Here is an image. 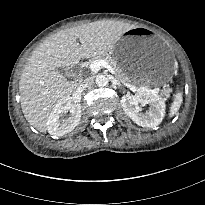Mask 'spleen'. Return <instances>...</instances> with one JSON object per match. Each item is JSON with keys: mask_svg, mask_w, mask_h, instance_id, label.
Returning <instances> with one entry per match:
<instances>
[{"mask_svg": "<svg viewBox=\"0 0 205 205\" xmlns=\"http://www.w3.org/2000/svg\"><path fill=\"white\" fill-rule=\"evenodd\" d=\"M182 103V93L178 92L175 95L174 101L170 107V117L176 114L181 106Z\"/></svg>", "mask_w": 205, "mask_h": 205, "instance_id": "3e777b00", "label": "spleen"}]
</instances>
